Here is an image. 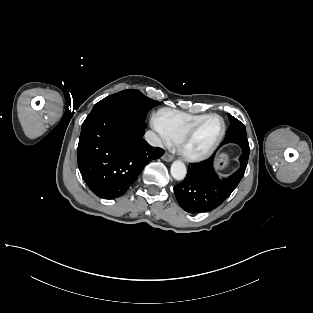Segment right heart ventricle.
<instances>
[{
	"label": "right heart ventricle",
	"instance_id": "right-heart-ventricle-1",
	"mask_svg": "<svg viewBox=\"0 0 313 313\" xmlns=\"http://www.w3.org/2000/svg\"><path fill=\"white\" fill-rule=\"evenodd\" d=\"M207 114H190L172 109H163L156 115L159 129L171 144L178 143L181 136Z\"/></svg>",
	"mask_w": 313,
	"mask_h": 313
}]
</instances>
